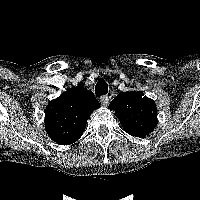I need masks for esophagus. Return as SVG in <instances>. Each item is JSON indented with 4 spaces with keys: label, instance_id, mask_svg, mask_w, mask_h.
I'll list each match as a JSON object with an SVG mask.
<instances>
[{
    "label": "esophagus",
    "instance_id": "34e87169",
    "mask_svg": "<svg viewBox=\"0 0 200 200\" xmlns=\"http://www.w3.org/2000/svg\"><path fill=\"white\" fill-rule=\"evenodd\" d=\"M100 102H101L102 105L107 106L108 103H109V97H108V95H102L100 97Z\"/></svg>",
    "mask_w": 200,
    "mask_h": 200
}]
</instances>
